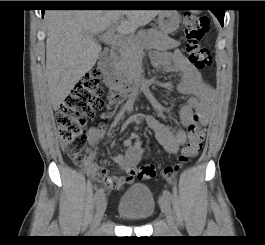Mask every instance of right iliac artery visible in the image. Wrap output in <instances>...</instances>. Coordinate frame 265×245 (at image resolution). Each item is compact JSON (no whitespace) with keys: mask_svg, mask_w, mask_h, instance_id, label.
I'll list each match as a JSON object with an SVG mask.
<instances>
[{"mask_svg":"<svg viewBox=\"0 0 265 245\" xmlns=\"http://www.w3.org/2000/svg\"><path fill=\"white\" fill-rule=\"evenodd\" d=\"M104 196V190L102 188H99L96 190L94 198H93V202L95 204H97L99 202V200Z\"/></svg>","mask_w":265,"mask_h":245,"instance_id":"1","label":"right iliac artery"}]
</instances>
